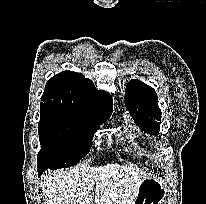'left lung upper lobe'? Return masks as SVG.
I'll return each mask as SVG.
<instances>
[{"label":"left lung upper lobe","mask_w":206,"mask_h":204,"mask_svg":"<svg viewBox=\"0 0 206 204\" xmlns=\"http://www.w3.org/2000/svg\"><path fill=\"white\" fill-rule=\"evenodd\" d=\"M125 102L137 125L147 133L157 135L162 113L154 89L140 80H131L126 87Z\"/></svg>","instance_id":"1"}]
</instances>
